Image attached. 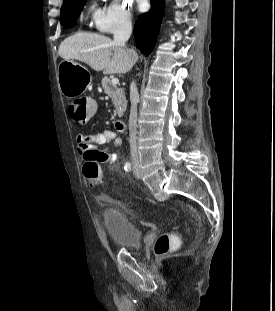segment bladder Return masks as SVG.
I'll list each match as a JSON object with an SVG mask.
<instances>
[{"mask_svg": "<svg viewBox=\"0 0 275 311\" xmlns=\"http://www.w3.org/2000/svg\"><path fill=\"white\" fill-rule=\"evenodd\" d=\"M101 217L106 232L114 246L134 249L142 245L141 230L125 213L104 208Z\"/></svg>", "mask_w": 275, "mask_h": 311, "instance_id": "obj_1", "label": "bladder"}]
</instances>
